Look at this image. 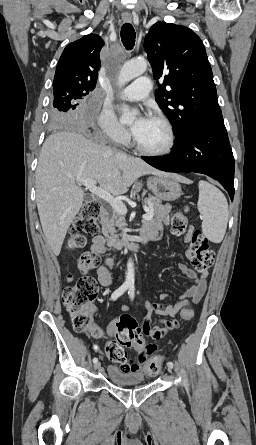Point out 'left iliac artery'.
<instances>
[{
    "instance_id": "1",
    "label": "left iliac artery",
    "mask_w": 256,
    "mask_h": 445,
    "mask_svg": "<svg viewBox=\"0 0 256 445\" xmlns=\"http://www.w3.org/2000/svg\"><path fill=\"white\" fill-rule=\"evenodd\" d=\"M128 294H129L130 299L133 300V299H134V295H135V287H134V286H130V287H129ZM167 365H168L169 367L173 368V362L169 361V362L167 363Z\"/></svg>"
}]
</instances>
